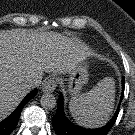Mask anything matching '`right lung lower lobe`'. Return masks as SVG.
Instances as JSON below:
<instances>
[{
  "mask_svg": "<svg viewBox=\"0 0 135 135\" xmlns=\"http://www.w3.org/2000/svg\"><path fill=\"white\" fill-rule=\"evenodd\" d=\"M37 94V89L30 92L24 100L19 104L17 109L5 120L0 122V135H9L18 123L21 111L28 101Z\"/></svg>",
  "mask_w": 135,
  "mask_h": 135,
  "instance_id": "1",
  "label": "right lung lower lobe"
}]
</instances>
